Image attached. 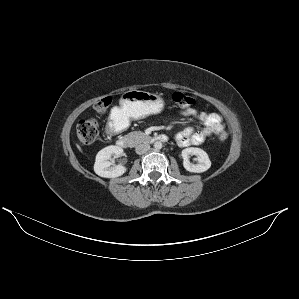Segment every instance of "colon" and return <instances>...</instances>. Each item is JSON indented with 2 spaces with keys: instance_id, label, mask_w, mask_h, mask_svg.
Instances as JSON below:
<instances>
[{
  "instance_id": "colon-1",
  "label": "colon",
  "mask_w": 299,
  "mask_h": 299,
  "mask_svg": "<svg viewBox=\"0 0 299 299\" xmlns=\"http://www.w3.org/2000/svg\"><path fill=\"white\" fill-rule=\"evenodd\" d=\"M172 101L175 106L180 108H188L195 104V100L183 92L173 93ZM110 104H111V98L109 97L103 98L94 105V110L98 114H104L108 110ZM99 131H100V124L94 118L81 120L77 124V128H76L77 138L84 145L92 144L98 137ZM227 137H228V133L226 131H223L219 134V139L222 141L226 140Z\"/></svg>"
}]
</instances>
